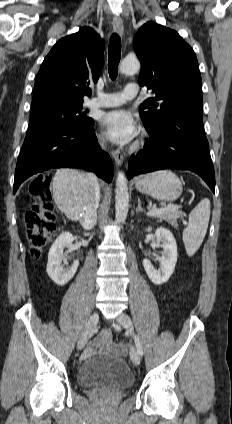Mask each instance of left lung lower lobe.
<instances>
[{"label":"left lung lower lobe","mask_w":232,"mask_h":424,"mask_svg":"<svg viewBox=\"0 0 232 424\" xmlns=\"http://www.w3.org/2000/svg\"><path fill=\"white\" fill-rule=\"evenodd\" d=\"M144 124V123H143ZM150 140L132 156L128 179L161 169L190 170L201 176L215 193V174L205 136L202 112L184 111L168 117L160 128L144 124Z\"/></svg>","instance_id":"obj_1"}]
</instances>
